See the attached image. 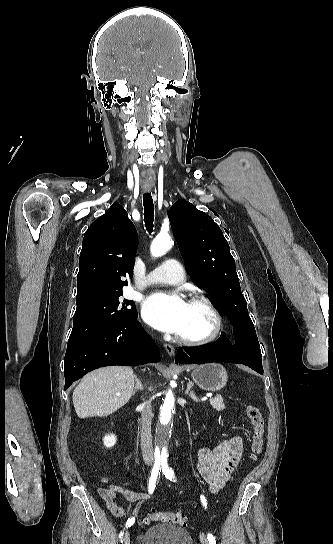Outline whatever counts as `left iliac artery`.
I'll return each mask as SVG.
<instances>
[{
    "mask_svg": "<svg viewBox=\"0 0 333 544\" xmlns=\"http://www.w3.org/2000/svg\"><path fill=\"white\" fill-rule=\"evenodd\" d=\"M161 466H162V472L165 475V477L170 481H175L174 471L172 470V468H170L168 466L167 462H162ZM201 502H202L203 506L206 508L207 507V501H206V498L203 495L201 496ZM207 539H208L210 544H216L215 537L211 533L207 534Z\"/></svg>",
    "mask_w": 333,
    "mask_h": 544,
    "instance_id": "1",
    "label": "left iliac artery"
}]
</instances>
